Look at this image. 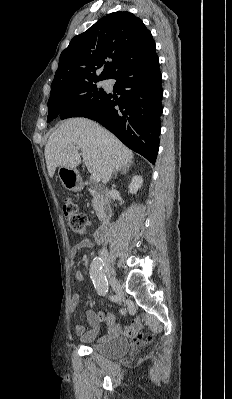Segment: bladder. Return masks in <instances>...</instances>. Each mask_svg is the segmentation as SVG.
Masks as SVG:
<instances>
[{
    "instance_id": "obj_1",
    "label": "bladder",
    "mask_w": 232,
    "mask_h": 399,
    "mask_svg": "<svg viewBox=\"0 0 232 399\" xmlns=\"http://www.w3.org/2000/svg\"><path fill=\"white\" fill-rule=\"evenodd\" d=\"M96 354L106 359H120L130 351V343L123 337H116L104 343H97L91 346Z\"/></svg>"
}]
</instances>
